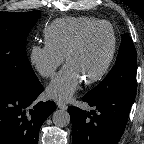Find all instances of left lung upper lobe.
<instances>
[{"label":"left lung upper lobe","instance_id":"left-lung-upper-lobe-1","mask_svg":"<svg viewBox=\"0 0 144 144\" xmlns=\"http://www.w3.org/2000/svg\"><path fill=\"white\" fill-rule=\"evenodd\" d=\"M136 69V49L133 40L127 34H123L115 66L105 79L88 93L91 95H100L116 92L135 95Z\"/></svg>","mask_w":144,"mask_h":144}]
</instances>
